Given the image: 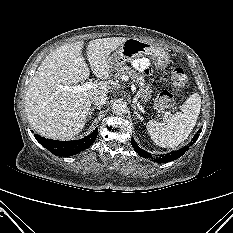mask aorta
Here are the masks:
<instances>
[{
  "label": "aorta",
  "mask_w": 233,
  "mask_h": 233,
  "mask_svg": "<svg viewBox=\"0 0 233 233\" xmlns=\"http://www.w3.org/2000/svg\"><path fill=\"white\" fill-rule=\"evenodd\" d=\"M111 111L113 114H116V115H122V114L126 113V111H127L126 102L123 100L115 101L111 107Z\"/></svg>",
  "instance_id": "obj_1"
}]
</instances>
